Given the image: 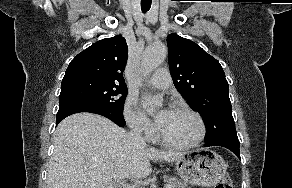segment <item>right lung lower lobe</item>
Returning <instances> with one entry per match:
<instances>
[{
  "instance_id": "1",
  "label": "right lung lower lobe",
  "mask_w": 292,
  "mask_h": 188,
  "mask_svg": "<svg viewBox=\"0 0 292 188\" xmlns=\"http://www.w3.org/2000/svg\"><path fill=\"white\" fill-rule=\"evenodd\" d=\"M79 112H90L102 115L114 123H116L118 126L123 127L125 125V120L123 115H116L113 113H110L108 111H105L99 107L93 106L89 103H86L84 101L80 100H66L59 102V110L57 113L56 118V125L62 121L65 117L79 113Z\"/></svg>"
}]
</instances>
